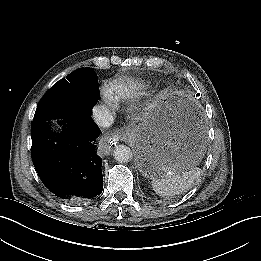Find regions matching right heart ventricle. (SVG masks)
<instances>
[{
    "label": "right heart ventricle",
    "mask_w": 261,
    "mask_h": 261,
    "mask_svg": "<svg viewBox=\"0 0 261 261\" xmlns=\"http://www.w3.org/2000/svg\"><path fill=\"white\" fill-rule=\"evenodd\" d=\"M110 92L113 93L117 99L123 97L126 94L127 89L124 82H119L111 86Z\"/></svg>",
    "instance_id": "1"
}]
</instances>
